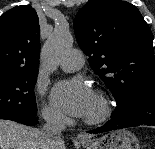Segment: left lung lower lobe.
I'll return each mask as SVG.
<instances>
[{
	"label": "left lung lower lobe",
	"mask_w": 155,
	"mask_h": 149,
	"mask_svg": "<svg viewBox=\"0 0 155 149\" xmlns=\"http://www.w3.org/2000/svg\"><path fill=\"white\" fill-rule=\"evenodd\" d=\"M139 125L155 126V86L140 88L129 95L124 103L117 102L111 120L88 133L95 134Z\"/></svg>",
	"instance_id": "1"
}]
</instances>
